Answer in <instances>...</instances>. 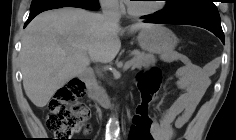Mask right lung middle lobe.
Returning <instances> with one entry per match:
<instances>
[{"instance_id":"right-lung-middle-lobe-1","label":"right lung middle lobe","mask_w":236,"mask_h":140,"mask_svg":"<svg viewBox=\"0 0 236 140\" xmlns=\"http://www.w3.org/2000/svg\"><path fill=\"white\" fill-rule=\"evenodd\" d=\"M61 5H77L90 10L100 8L98 0H32L30 12Z\"/></svg>"}]
</instances>
